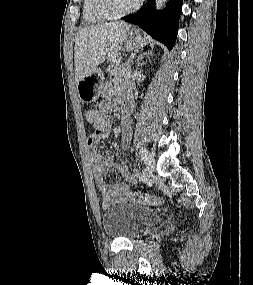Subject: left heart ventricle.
Returning <instances> with one entry per match:
<instances>
[{"instance_id":"b2bd125f","label":"left heart ventricle","mask_w":253,"mask_h":285,"mask_svg":"<svg viewBox=\"0 0 253 285\" xmlns=\"http://www.w3.org/2000/svg\"><path fill=\"white\" fill-rule=\"evenodd\" d=\"M114 11H123L130 8L137 0H107Z\"/></svg>"}]
</instances>
